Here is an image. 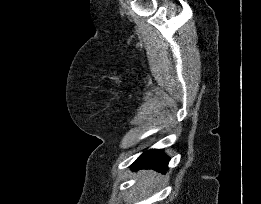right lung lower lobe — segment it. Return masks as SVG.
<instances>
[{
	"instance_id": "right-lung-lower-lobe-1",
	"label": "right lung lower lobe",
	"mask_w": 261,
	"mask_h": 204,
	"mask_svg": "<svg viewBox=\"0 0 261 204\" xmlns=\"http://www.w3.org/2000/svg\"><path fill=\"white\" fill-rule=\"evenodd\" d=\"M170 158L160 150H149L143 153L131 166L136 169H154L165 173Z\"/></svg>"
}]
</instances>
